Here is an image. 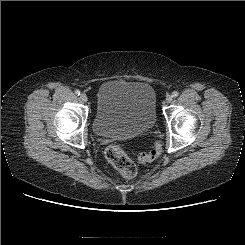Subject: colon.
I'll return each mask as SVG.
<instances>
[{
    "label": "colon",
    "mask_w": 245,
    "mask_h": 245,
    "mask_svg": "<svg viewBox=\"0 0 245 245\" xmlns=\"http://www.w3.org/2000/svg\"><path fill=\"white\" fill-rule=\"evenodd\" d=\"M161 148L158 144L149 152L140 153L137 160L140 163H147L155 160L160 155ZM107 160L117 169L124 178H132L137 172L136 164L128 157L124 150L117 146H109L105 152Z\"/></svg>",
    "instance_id": "colon-1"
}]
</instances>
